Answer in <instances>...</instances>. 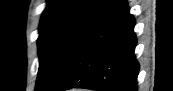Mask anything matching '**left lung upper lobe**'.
<instances>
[{
	"label": "left lung upper lobe",
	"mask_w": 173,
	"mask_h": 91,
	"mask_svg": "<svg viewBox=\"0 0 173 91\" xmlns=\"http://www.w3.org/2000/svg\"><path fill=\"white\" fill-rule=\"evenodd\" d=\"M116 0H48L39 26L35 91H51L74 52Z\"/></svg>",
	"instance_id": "1"
}]
</instances>
